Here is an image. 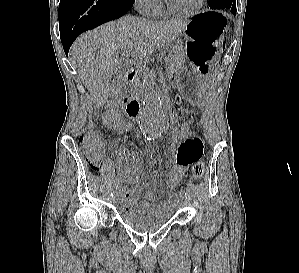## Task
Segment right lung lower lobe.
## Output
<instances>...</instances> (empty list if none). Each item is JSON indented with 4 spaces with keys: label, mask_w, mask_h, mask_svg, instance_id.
I'll use <instances>...</instances> for the list:
<instances>
[{
    "label": "right lung lower lobe",
    "mask_w": 299,
    "mask_h": 273,
    "mask_svg": "<svg viewBox=\"0 0 299 273\" xmlns=\"http://www.w3.org/2000/svg\"><path fill=\"white\" fill-rule=\"evenodd\" d=\"M133 3L134 0H60L59 28L66 55L82 32L123 16Z\"/></svg>",
    "instance_id": "98d812e1"
}]
</instances>
